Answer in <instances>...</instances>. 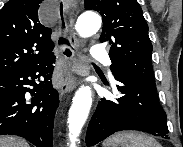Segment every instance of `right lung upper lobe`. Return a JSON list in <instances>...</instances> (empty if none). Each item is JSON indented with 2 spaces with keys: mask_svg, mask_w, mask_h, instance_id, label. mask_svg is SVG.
I'll return each instance as SVG.
<instances>
[{
  "mask_svg": "<svg viewBox=\"0 0 183 147\" xmlns=\"http://www.w3.org/2000/svg\"><path fill=\"white\" fill-rule=\"evenodd\" d=\"M41 1L9 0L1 9L0 78L53 57L52 30L38 18Z\"/></svg>",
  "mask_w": 183,
  "mask_h": 147,
  "instance_id": "1",
  "label": "right lung upper lobe"
}]
</instances>
